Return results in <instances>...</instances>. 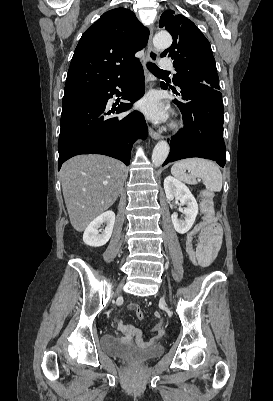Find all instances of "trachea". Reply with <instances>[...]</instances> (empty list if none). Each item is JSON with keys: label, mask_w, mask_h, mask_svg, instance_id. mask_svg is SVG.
<instances>
[{"label": "trachea", "mask_w": 273, "mask_h": 401, "mask_svg": "<svg viewBox=\"0 0 273 401\" xmlns=\"http://www.w3.org/2000/svg\"><path fill=\"white\" fill-rule=\"evenodd\" d=\"M146 66L154 75L166 72V70H162L161 68L157 67V65H155L153 62H147Z\"/></svg>", "instance_id": "1"}]
</instances>
